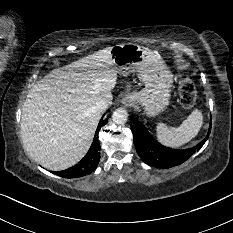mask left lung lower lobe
<instances>
[{
	"label": "left lung lower lobe",
	"instance_id": "1",
	"mask_svg": "<svg viewBox=\"0 0 233 233\" xmlns=\"http://www.w3.org/2000/svg\"><path fill=\"white\" fill-rule=\"evenodd\" d=\"M134 144L140 158L148 165L157 168H170L180 165L189 159L196 151H198L206 142L208 137L203 139L195 147L186 150H175L162 146L158 143L139 123L131 125ZM211 131V122L207 136Z\"/></svg>",
	"mask_w": 233,
	"mask_h": 233
}]
</instances>
